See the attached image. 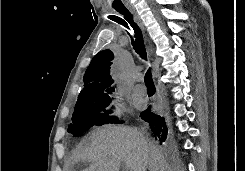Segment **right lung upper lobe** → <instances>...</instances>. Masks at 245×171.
Wrapping results in <instances>:
<instances>
[{"label":"right lung upper lobe","instance_id":"right-lung-upper-lobe-1","mask_svg":"<svg viewBox=\"0 0 245 171\" xmlns=\"http://www.w3.org/2000/svg\"><path fill=\"white\" fill-rule=\"evenodd\" d=\"M113 58V53L110 50H103L93 57L85 72V84L78 96V100H85L99 95H108L114 91V87H111L113 80H111L109 74Z\"/></svg>","mask_w":245,"mask_h":171}]
</instances>
